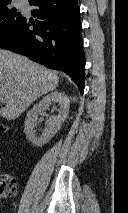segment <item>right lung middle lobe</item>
<instances>
[{
    "label": "right lung middle lobe",
    "instance_id": "dd1d6c3e",
    "mask_svg": "<svg viewBox=\"0 0 128 213\" xmlns=\"http://www.w3.org/2000/svg\"><path fill=\"white\" fill-rule=\"evenodd\" d=\"M26 18L9 5L0 6V42L7 38Z\"/></svg>",
    "mask_w": 128,
    "mask_h": 213
}]
</instances>
